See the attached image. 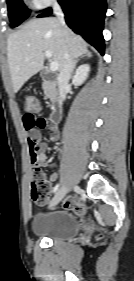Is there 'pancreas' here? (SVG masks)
Masks as SVG:
<instances>
[{"label":"pancreas","mask_w":134,"mask_h":281,"mask_svg":"<svg viewBox=\"0 0 134 281\" xmlns=\"http://www.w3.org/2000/svg\"><path fill=\"white\" fill-rule=\"evenodd\" d=\"M43 90L47 97H49L52 100L55 99V91L49 82L43 83Z\"/></svg>","instance_id":"1"}]
</instances>
